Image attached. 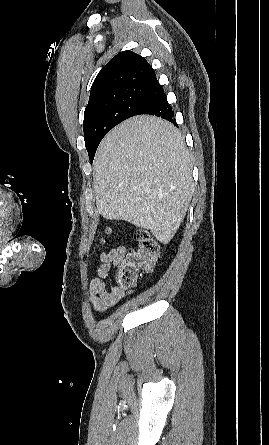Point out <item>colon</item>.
Returning <instances> with one entry per match:
<instances>
[{
	"mask_svg": "<svg viewBox=\"0 0 269 445\" xmlns=\"http://www.w3.org/2000/svg\"><path fill=\"white\" fill-rule=\"evenodd\" d=\"M135 238L138 242L137 248L129 251L116 267L115 281L118 289L134 287L137 284L139 271L152 269L158 261L160 254L158 243L143 230L138 231Z\"/></svg>",
	"mask_w": 269,
	"mask_h": 445,
	"instance_id": "1",
	"label": "colon"
}]
</instances>
